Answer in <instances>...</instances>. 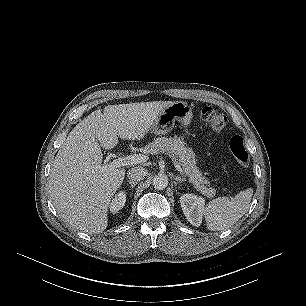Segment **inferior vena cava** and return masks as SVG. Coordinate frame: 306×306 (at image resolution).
<instances>
[{"label": "inferior vena cava", "instance_id": "obj_1", "mask_svg": "<svg viewBox=\"0 0 306 306\" xmlns=\"http://www.w3.org/2000/svg\"><path fill=\"white\" fill-rule=\"evenodd\" d=\"M147 169L143 167H133L128 170L127 177L130 181H140L144 179L147 175Z\"/></svg>", "mask_w": 306, "mask_h": 306}]
</instances>
